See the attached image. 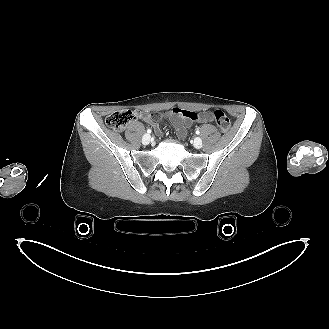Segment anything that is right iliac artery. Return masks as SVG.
Segmentation results:
<instances>
[{
	"label": "right iliac artery",
	"instance_id": "obj_1",
	"mask_svg": "<svg viewBox=\"0 0 329 329\" xmlns=\"http://www.w3.org/2000/svg\"><path fill=\"white\" fill-rule=\"evenodd\" d=\"M151 132H152V131H151L150 129H148V130H147V133H149V134H150Z\"/></svg>",
	"mask_w": 329,
	"mask_h": 329
}]
</instances>
